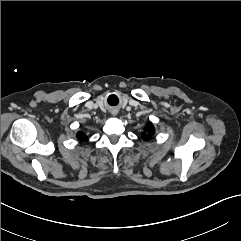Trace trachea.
I'll list each match as a JSON object with an SVG mask.
<instances>
[{
  "label": "trachea",
  "instance_id": "obj_1",
  "mask_svg": "<svg viewBox=\"0 0 241 241\" xmlns=\"http://www.w3.org/2000/svg\"><path fill=\"white\" fill-rule=\"evenodd\" d=\"M108 103L111 106H116L119 103V96L116 93H111L108 96Z\"/></svg>",
  "mask_w": 241,
  "mask_h": 241
}]
</instances>
